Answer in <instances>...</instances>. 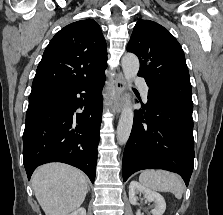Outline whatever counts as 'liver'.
Masks as SVG:
<instances>
[{"label": "liver", "mask_w": 223, "mask_h": 215, "mask_svg": "<svg viewBox=\"0 0 223 215\" xmlns=\"http://www.w3.org/2000/svg\"><path fill=\"white\" fill-rule=\"evenodd\" d=\"M34 193L46 215H68L87 193V177L66 163H45L31 177Z\"/></svg>", "instance_id": "1"}]
</instances>
